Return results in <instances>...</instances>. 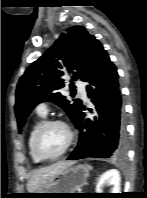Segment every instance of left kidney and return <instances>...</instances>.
Listing matches in <instances>:
<instances>
[{
	"instance_id": "left-kidney-1",
	"label": "left kidney",
	"mask_w": 147,
	"mask_h": 198,
	"mask_svg": "<svg viewBox=\"0 0 147 198\" xmlns=\"http://www.w3.org/2000/svg\"><path fill=\"white\" fill-rule=\"evenodd\" d=\"M120 173L117 169H110L106 171L98 180L96 185V193H101V188L105 183L113 185L110 193H120Z\"/></svg>"
}]
</instances>
